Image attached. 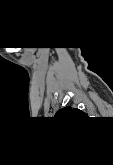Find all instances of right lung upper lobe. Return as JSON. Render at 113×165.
Here are the masks:
<instances>
[{
    "label": "right lung upper lobe",
    "instance_id": "1",
    "mask_svg": "<svg viewBox=\"0 0 113 165\" xmlns=\"http://www.w3.org/2000/svg\"><path fill=\"white\" fill-rule=\"evenodd\" d=\"M56 116L62 117V118L72 119V118H77L80 116H86V114L84 112H82L80 109L72 108L71 106H67V107L60 109L56 113Z\"/></svg>",
    "mask_w": 113,
    "mask_h": 165
}]
</instances>
